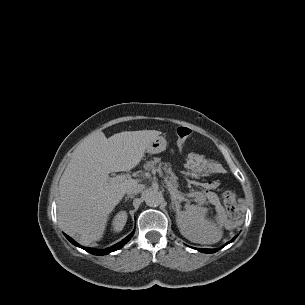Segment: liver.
Here are the masks:
<instances>
[{
	"label": "liver",
	"mask_w": 305,
	"mask_h": 305,
	"mask_svg": "<svg viewBox=\"0 0 305 305\" xmlns=\"http://www.w3.org/2000/svg\"><path fill=\"white\" fill-rule=\"evenodd\" d=\"M161 134L156 130L125 131L106 138L88 135L73 152L59 182L58 221L83 245L103 237L110 213L137 179L110 182L108 174L135 168L147 146Z\"/></svg>",
	"instance_id": "6515ba94"
}]
</instances>
